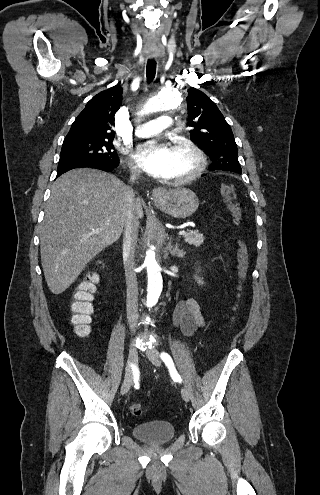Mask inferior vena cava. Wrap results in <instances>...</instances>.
Masks as SVG:
<instances>
[{
    "label": "inferior vena cava",
    "instance_id": "obj_1",
    "mask_svg": "<svg viewBox=\"0 0 320 495\" xmlns=\"http://www.w3.org/2000/svg\"><path fill=\"white\" fill-rule=\"evenodd\" d=\"M141 175V171L138 169L131 171L130 181L134 182ZM127 211H126V219H125V227H124V238H123V256L125 258L124 268H125V277H126V286H127V319L130 325V328L135 327L136 320L138 316V286H137V277L134 272V264H135V247L137 244L138 238V215L135 208V195L133 190L128 187L127 188Z\"/></svg>",
    "mask_w": 320,
    "mask_h": 495
}]
</instances>
